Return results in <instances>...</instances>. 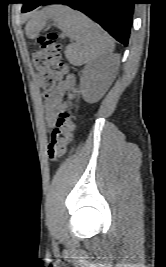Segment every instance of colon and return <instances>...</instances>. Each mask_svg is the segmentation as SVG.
<instances>
[{
	"mask_svg": "<svg viewBox=\"0 0 166 267\" xmlns=\"http://www.w3.org/2000/svg\"><path fill=\"white\" fill-rule=\"evenodd\" d=\"M60 35L49 32L38 38L39 49L33 52V65L39 74L40 84L45 94H51L67 67L61 55L58 42ZM51 68H55L53 71ZM75 124L71 109L61 111L55 122L48 143V157L51 161L61 158L72 140Z\"/></svg>",
	"mask_w": 166,
	"mask_h": 267,
	"instance_id": "1",
	"label": "colon"
}]
</instances>
